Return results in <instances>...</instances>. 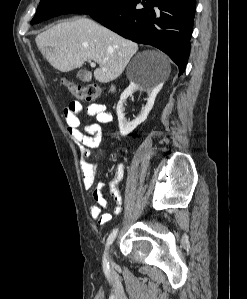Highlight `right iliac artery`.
<instances>
[{
    "label": "right iliac artery",
    "instance_id": "right-iliac-artery-1",
    "mask_svg": "<svg viewBox=\"0 0 247 299\" xmlns=\"http://www.w3.org/2000/svg\"><path fill=\"white\" fill-rule=\"evenodd\" d=\"M117 232H118V229H114L112 231V233L109 235L108 239H107V244H106V250L108 249V247L112 244V242L114 241L116 235H117ZM103 267H104V270L106 271V273L108 272L109 270V263L107 262V259H106V251H105V254H104V259H103Z\"/></svg>",
    "mask_w": 247,
    "mask_h": 299
}]
</instances>
